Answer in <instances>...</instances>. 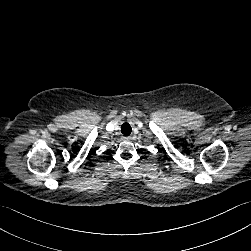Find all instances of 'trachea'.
<instances>
[{
  "label": "trachea",
  "mask_w": 251,
  "mask_h": 251,
  "mask_svg": "<svg viewBox=\"0 0 251 251\" xmlns=\"http://www.w3.org/2000/svg\"><path fill=\"white\" fill-rule=\"evenodd\" d=\"M131 126L128 123H124L121 126V132L122 134H124L125 136H129L131 134Z\"/></svg>",
  "instance_id": "trachea-1"
}]
</instances>
